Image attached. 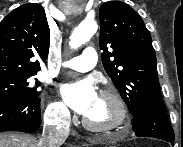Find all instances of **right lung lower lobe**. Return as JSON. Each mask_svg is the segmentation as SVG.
I'll use <instances>...</instances> for the list:
<instances>
[{
    "label": "right lung lower lobe",
    "mask_w": 183,
    "mask_h": 147,
    "mask_svg": "<svg viewBox=\"0 0 183 147\" xmlns=\"http://www.w3.org/2000/svg\"><path fill=\"white\" fill-rule=\"evenodd\" d=\"M39 97L0 98V132H33L40 126Z\"/></svg>",
    "instance_id": "1"
}]
</instances>
